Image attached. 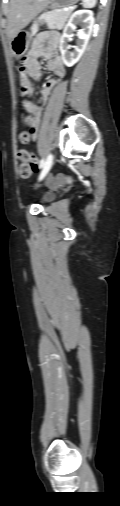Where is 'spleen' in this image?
<instances>
[{
	"label": "spleen",
	"mask_w": 120,
	"mask_h": 506,
	"mask_svg": "<svg viewBox=\"0 0 120 506\" xmlns=\"http://www.w3.org/2000/svg\"><path fill=\"white\" fill-rule=\"evenodd\" d=\"M97 0H82V5L85 8H92L96 5Z\"/></svg>",
	"instance_id": "3e777b00"
}]
</instances>
